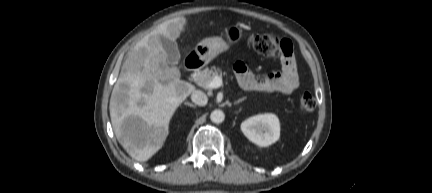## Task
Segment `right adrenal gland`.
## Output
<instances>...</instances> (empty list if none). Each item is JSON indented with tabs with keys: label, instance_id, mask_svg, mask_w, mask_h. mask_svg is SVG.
I'll list each match as a JSON object with an SVG mask.
<instances>
[{
	"label": "right adrenal gland",
	"instance_id": "obj_1",
	"mask_svg": "<svg viewBox=\"0 0 432 193\" xmlns=\"http://www.w3.org/2000/svg\"><path fill=\"white\" fill-rule=\"evenodd\" d=\"M184 104L187 105V106L193 107V108L196 107L194 104H192V103H190V102H185Z\"/></svg>",
	"mask_w": 432,
	"mask_h": 193
}]
</instances>
